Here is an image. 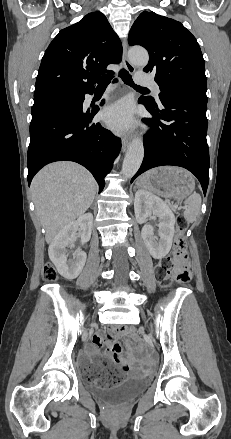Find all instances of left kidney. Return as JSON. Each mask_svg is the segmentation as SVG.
Returning <instances> with one entry per match:
<instances>
[{"mask_svg": "<svg viewBox=\"0 0 231 439\" xmlns=\"http://www.w3.org/2000/svg\"><path fill=\"white\" fill-rule=\"evenodd\" d=\"M134 211L138 223H145L151 214L158 219L160 239L155 237L154 228L149 224L143 226L141 236L153 258L165 257L171 250L174 236L176 219L173 212L163 200L143 189L135 193Z\"/></svg>", "mask_w": 231, "mask_h": 439, "instance_id": "left-kidney-1", "label": "left kidney"}]
</instances>
